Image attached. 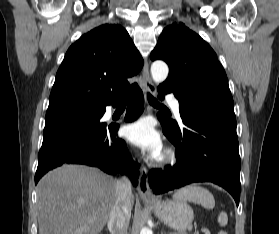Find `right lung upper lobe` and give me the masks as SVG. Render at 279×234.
Wrapping results in <instances>:
<instances>
[{
	"label": "right lung upper lobe",
	"instance_id": "cb5924a9",
	"mask_svg": "<svg viewBox=\"0 0 279 234\" xmlns=\"http://www.w3.org/2000/svg\"><path fill=\"white\" fill-rule=\"evenodd\" d=\"M143 59L128 32L105 24L82 35L72 44L59 67L48 109L60 106L104 108L119 100L136 75Z\"/></svg>",
	"mask_w": 279,
	"mask_h": 234
}]
</instances>
